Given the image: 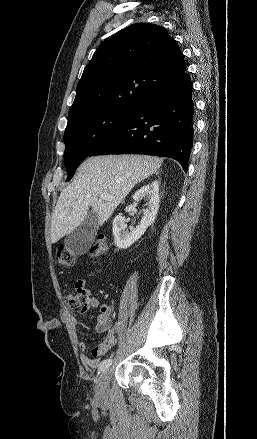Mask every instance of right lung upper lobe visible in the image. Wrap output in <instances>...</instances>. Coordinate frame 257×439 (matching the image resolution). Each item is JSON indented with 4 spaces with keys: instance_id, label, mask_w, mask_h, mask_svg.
<instances>
[{
    "instance_id": "1",
    "label": "right lung upper lobe",
    "mask_w": 257,
    "mask_h": 439,
    "mask_svg": "<svg viewBox=\"0 0 257 439\" xmlns=\"http://www.w3.org/2000/svg\"><path fill=\"white\" fill-rule=\"evenodd\" d=\"M186 67L176 42L156 24L137 23L97 48L77 85L68 119L91 110H136Z\"/></svg>"
}]
</instances>
